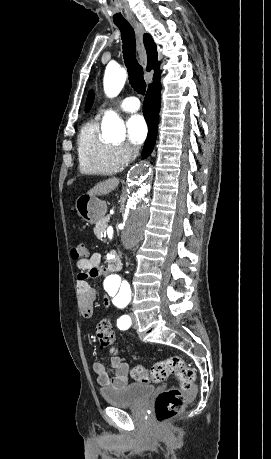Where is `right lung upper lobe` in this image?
Returning a JSON list of instances; mask_svg holds the SVG:
<instances>
[{"instance_id": "right-lung-upper-lobe-1", "label": "right lung upper lobe", "mask_w": 271, "mask_h": 459, "mask_svg": "<svg viewBox=\"0 0 271 459\" xmlns=\"http://www.w3.org/2000/svg\"><path fill=\"white\" fill-rule=\"evenodd\" d=\"M143 40L148 59L146 70L150 71L151 69H154L155 72L153 79L155 80L160 77L159 63L157 62L156 45L149 34H144Z\"/></svg>"}]
</instances>
